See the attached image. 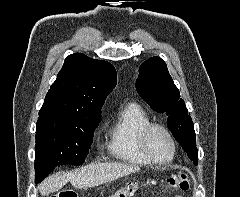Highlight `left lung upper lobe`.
Here are the masks:
<instances>
[{
	"label": "left lung upper lobe",
	"instance_id": "obj_1",
	"mask_svg": "<svg viewBox=\"0 0 240 197\" xmlns=\"http://www.w3.org/2000/svg\"><path fill=\"white\" fill-rule=\"evenodd\" d=\"M136 89L141 98L158 112L168 115L167 125L195 165L198 163L195 131L185 102L166 66L159 57H151L139 68Z\"/></svg>",
	"mask_w": 240,
	"mask_h": 197
}]
</instances>
